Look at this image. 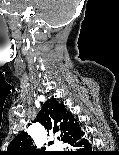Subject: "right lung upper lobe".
I'll list each match as a JSON object with an SVG mask.
<instances>
[{
	"mask_svg": "<svg viewBox=\"0 0 119 155\" xmlns=\"http://www.w3.org/2000/svg\"><path fill=\"white\" fill-rule=\"evenodd\" d=\"M34 122L41 123L48 132L61 133L64 142L80 129L79 122L72 113L67 111L65 105L58 103L55 98L48 99L43 104ZM4 155H53V153L44 149L35 150L30 135L22 131L10 142Z\"/></svg>",
	"mask_w": 119,
	"mask_h": 155,
	"instance_id": "right-lung-upper-lobe-1",
	"label": "right lung upper lobe"
}]
</instances>
